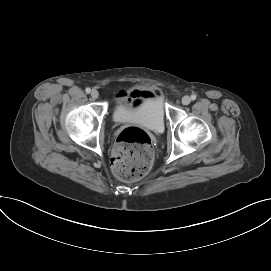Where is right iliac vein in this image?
<instances>
[{
    "label": "right iliac vein",
    "instance_id": "1",
    "mask_svg": "<svg viewBox=\"0 0 271 271\" xmlns=\"http://www.w3.org/2000/svg\"><path fill=\"white\" fill-rule=\"evenodd\" d=\"M91 97L93 98V99H97L98 97H99V92L97 91V90H92V92H91Z\"/></svg>",
    "mask_w": 271,
    "mask_h": 271
}]
</instances>
